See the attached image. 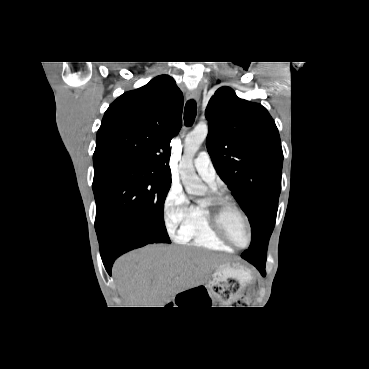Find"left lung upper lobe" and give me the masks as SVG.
Here are the masks:
<instances>
[{
    "label": "left lung upper lobe",
    "mask_w": 369,
    "mask_h": 369,
    "mask_svg": "<svg viewBox=\"0 0 369 369\" xmlns=\"http://www.w3.org/2000/svg\"><path fill=\"white\" fill-rule=\"evenodd\" d=\"M207 151L251 225V244L241 255L265 261L281 192L283 152L278 129L258 103L220 87L209 100Z\"/></svg>",
    "instance_id": "obj_1"
}]
</instances>
